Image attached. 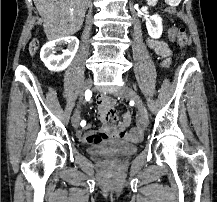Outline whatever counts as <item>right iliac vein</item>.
Listing matches in <instances>:
<instances>
[{
	"mask_svg": "<svg viewBox=\"0 0 217 202\" xmlns=\"http://www.w3.org/2000/svg\"><path fill=\"white\" fill-rule=\"evenodd\" d=\"M92 79H87L85 80V82L83 83V86H82V92L86 91V90H89L92 86ZM82 95V93H81ZM81 100V98H80ZM80 103V102H79ZM79 121H80V112L79 110L77 109L73 116H72V119H71V124L74 128H77L79 126Z\"/></svg>",
	"mask_w": 217,
	"mask_h": 202,
	"instance_id": "1",
	"label": "right iliac vein"
}]
</instances>
